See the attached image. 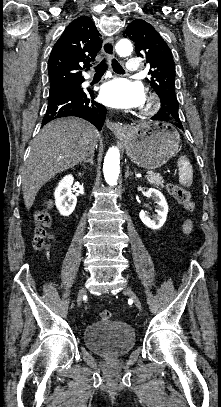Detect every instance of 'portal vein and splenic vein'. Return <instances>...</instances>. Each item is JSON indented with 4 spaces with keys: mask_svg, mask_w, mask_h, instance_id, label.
<instances>
[{
    "mask_svg": "<svg viewBox=\"0 0 221 407\" xmlns=\"http://www.w3.org/2000/svg\"><path fill=\"white\" fill-rule=\"evenodd\" d=\"M146 174L151 175V174H153V171H147Z\"/></svg>",
    "mask_w": 221,
    "mask_h": 407,
    "instance_id": "obj_1",
    "label": "portal vein and splenic vein"
}]
</instances>
